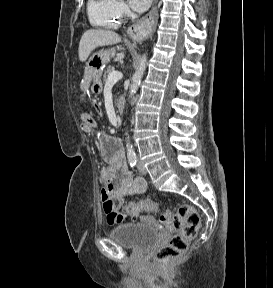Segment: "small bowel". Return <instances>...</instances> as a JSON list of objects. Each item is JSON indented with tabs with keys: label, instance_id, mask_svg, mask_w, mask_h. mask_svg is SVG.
<instances>
[{
	"label": "small bowel",
	"instance_id": "small-bowel-1",
	"mask_svg": "<svg viewBox=\"0 0 273 288\" xmlns=\"http://www.w3.org/2000/svg\"><path fill=\"white\" fill-rule=\"evenodd\" d=\"M80 118L83 132L90 133L96 127V121L89 113H82ZM98 144L105 162L101 170V179L105 187L100 193L103 209L109 224H120L127 217L120 211L123 199L126 196L144 193L146 182L130 173L122 144L117 138L99 133Z\"/></svg>",
	"mask_w": 273,
	"mask_h": 288
}]
</instances>
